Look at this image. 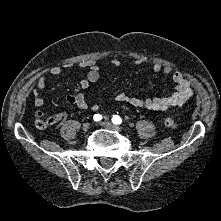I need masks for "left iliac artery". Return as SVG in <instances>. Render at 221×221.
Wrapping results in <instances>:
<instances>
[{
  "label": "left iliac artery",
  "instance_id": "1",
  "mask_svg": "<svg viewBox=\"0 0 221 221\" xmlns=\"http://www.w3.org/2000/svg\"><path fill=\"white\" fill-rule=\"evenodd\" d=\"M112 122H113L114 124H120V123L122 122V119H121V117L118 116V115H113V117H112Z\"/></svg>",
  "mask_w": 221,
  "mask_h": 221
}]
</instances>
